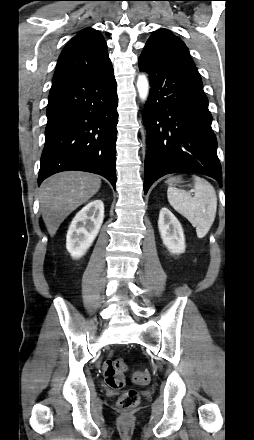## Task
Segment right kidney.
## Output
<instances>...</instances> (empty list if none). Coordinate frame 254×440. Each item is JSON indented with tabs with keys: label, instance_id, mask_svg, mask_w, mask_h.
<instances>
[{
	"label": "right kidney",
	"instance_id": "1",
	"mask_svg": "<svg viewBox=\"0 0 254 440\" xmlns=\"http://www.w3.org/2000/svg\"><path fill=\"white\" fill-rule=\"evenodd\" d=\"M104 219V204L97 199L80 210L71 222L66 248L73 258H80L96 238Z\"/></svg>",
	"mask_w": 254,
	"mask_h": 440
}]
</instances>
